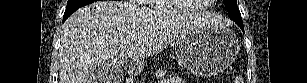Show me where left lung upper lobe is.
<instances>
[{
	"instance_id": "1",
	"label": "left lung upper lobe",
	"mask_w": 307,
	"mask_h": 83,
	"mask_svg": "<svg viewBox=\"0 0 307 83\" xmlns=\"http://www.w3.org/2000/svg\"><path fill=\"white\" fill-rule=\"evenodd\" d=\"M225 6L232 19L237 25L243 24L239 8L236 0H224Z\"/></svg>"
}]
</instances>
